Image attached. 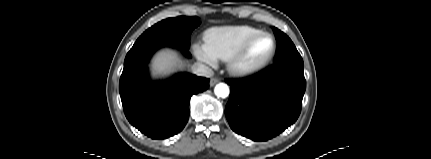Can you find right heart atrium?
<instances>
[{"mask_svg":"<svg viewBox=\"0 0 431 159\" xmlns=\"http://www.w3.org/2000/svg\"><path fill=\"white\" fill-rule=\"evenodd\" d=\"M193 51L195 56L201 62L209 65L215 66L217 64L216 56L210 51L205 43L197 42L193 45Z\"/></svg>","mask_w":431,"mask_h":159,"instance_id":"d8ad5b80","label":"right heart atrium"}]
</instances>
